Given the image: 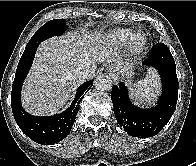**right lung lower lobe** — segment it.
<instances>
[{
	"mask_svg": "<svg viewBox=\"0 0 196 166\" xmlns=\"http://www.w3.org/2000/svg\"><path fill=\"white\" fill-rule=\"evenodd\" d=\"M38 46L39 44L26 46L25 51L22 54L12 85L11 106L14 118L23 133L33 141L42 145H47L63 140L70 133L78 113V104L92 87L93 80L84 83L78 88L74 101L64 112L47 117H36L28 114L21 107V88L32 65Z\"/></svg>",
	"mask_w": 196,
	"mask_h": 166,
	"instance_id": "1",
	"label": "right lung lower lobe"
}]
</instances>
